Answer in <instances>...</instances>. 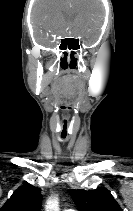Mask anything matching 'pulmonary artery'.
<instances>
[{
    "label": "pulmonary artery",
    "mask_w": 133,
    "mask_h": 211,
    "mask_svg": "<svg viewBox=\"0 0 133 211\" xmlns=\"http://www.w3.org/2000/svg\"><path fill=\"white\" fill-rule=\"evenodd\" d=\"M65 211H75V210H72V209H68V210H65Z\"/></svg>",
    "instance_id": "e3ab8cb5"
}]
</instances>
